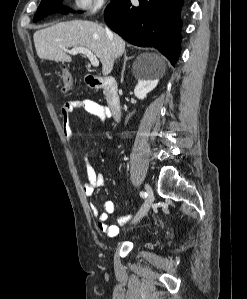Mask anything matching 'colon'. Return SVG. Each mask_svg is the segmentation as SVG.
<instances>
[{
  "mask_svg": "<svg viewBox=\"0 0 247 299\" xmlns=\"http://www.w3.org/2000/svg\"><path fill=\"white\" fill-rule=\"evenodd\" d=\"M60 77L64 85V90L68 91L72 88L73 80L70 73L66 70L60 72Z\"/></svg>",
  "mask_w": 247,
  "mask_h": 299,
  "instance_id": "obj_1",
  "label": "colon"
}]
</instances>
